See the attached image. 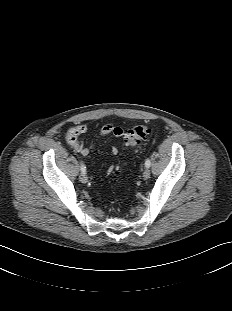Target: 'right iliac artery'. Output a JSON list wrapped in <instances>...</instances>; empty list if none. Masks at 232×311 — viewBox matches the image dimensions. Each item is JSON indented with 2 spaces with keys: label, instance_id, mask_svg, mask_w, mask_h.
Returning <instances> with one entry per match:
<instances>
[{
  "label": "right iliac artery",
  "instance_id": "1",
  "mask_svg": "<svg viewBox=\"0 0 232 311\" xmlns=\"http://www.w3.org/2000/svg\"><path fill=\"white\" fill-rule=\"evenodd\" d=\"M80 163H81V172H82L83 174H85V173H86V167H85V165L83 164L82 161H81Z\"/></svg>",
  "mask_w": 232,
  "mask_h": 311
}]
</instances>
